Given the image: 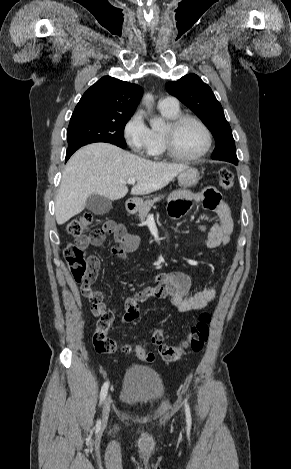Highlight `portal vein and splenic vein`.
<instances>
[{"instance_id":"obj_1","label":"portal vein and splenic vein","mask_w":291,"mask_h":469,"mask_svg":"<svg viewBox=\"0 0 291 469\" xmlns=\"http://www.w3.org/2000/svg\"><path fill=\"white\" fill-rule=\"evenodd\" d=\"M135 182H136V180L133 179V178H131V179H128L126 183L131 184V185H134Z\"/></svg>"}]
</instances>
